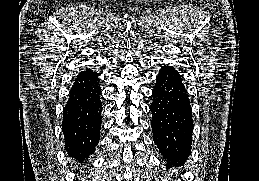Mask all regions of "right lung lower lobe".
Masks as SVG:
<instances>
[{
    "label": "right lung lower lobe",
    "instance_id": "1",
    "mask_svg": "<svg viewBox=\"0 0 259 181\" xmlns=\"http://www.w3.org/2000/svg\"><path fill=\"white\" fill-rule=\"evenodd\" d=\"M101 88L98 74L80 72L72 85L63 111L62 131L68 155L76 160L88 158L100 139Z\"/></svg>",
    "mask_w": 259,
    "mask_h": 181
}]
</instances>
